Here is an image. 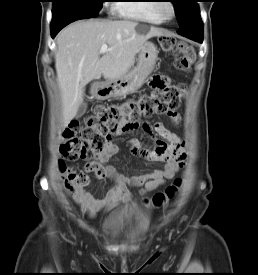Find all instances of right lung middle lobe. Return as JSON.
Segmentation results:
<instances>
[{"label": "right lung middle lobe", "mask_w": 258, "mask_h": 275, "mask_svg": "<svg viewBox=\"0 0 258 275\" xmlns=\"http://www.w3.org/2000/svg\"><path fill=\"white\" fill-rule=\"evenodd\" d=\"M105 0H53L52 17L81 15L95 18Z\"/></svg>", "instance_id": "right-lung-middle-lobe-1"}]
</instances>
